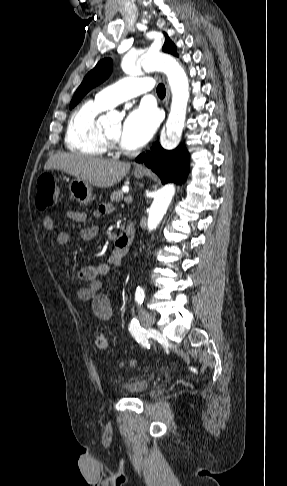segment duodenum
<instances>
[{
	"instance_id": "1",
	"label": "duodenum",
	"mask_w": 287,
	"mask_h": 486,
	"mask_svg": "<svg viewBox=\"0 0 287 486\" xmlns=\"http://www.w3.org/2000/svg\"><path fill=\"white\" fill-rule=\"evenodd\" d=\"M135 234V226L132 221H130L124 231L117 238L115 243V251L119 255H124L128 251Z\"/></svg>"
}]
</instances>
